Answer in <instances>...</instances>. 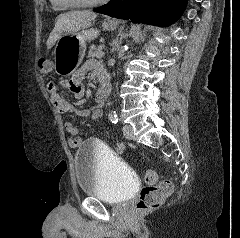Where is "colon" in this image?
<instances>
[{"label":"colon","mask_w":240,"mask_h":238,"mask_svg":"<svg viewBox=\"0 0 240 238\" xmlns=\"http://www.w3.org/2000/svg\"><path fill=\"white\" fill-rule=\"evenodd\" d=\"M38 68L42 75L48 76L51 74L53 64L51 60L42 58L38 62ZM145 180L150 185L144 187L140 192V197L136 207L140 212L155 209L173 192V183L170 180H164L155 183L157 173L154 170H148L145 175Z\"/></svg>","instance_id":"obj_1"}]
</instances>
